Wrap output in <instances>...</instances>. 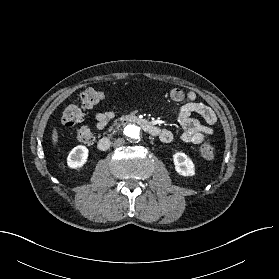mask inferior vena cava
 Here are the masks:
<instances>
[{"instance_id": "1", "label": "inferior vena cava", "mask_w": 279, "mask_h": 279, "mask_svg": "<svg viewBox=\"0 0 279 279\" xmlns=\"http://www.w3.org/2000/svg\"><path fill=\"white\" fill-rule=\"evenodd\" d=\"M124 143H125V140L123 138H118L114 141L113 146L119 147V146L124 145Z\"/></svg>"}]
</instances>
